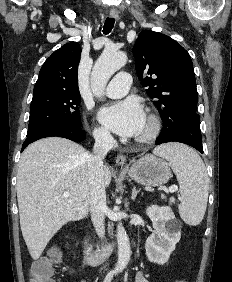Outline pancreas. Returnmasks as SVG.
Here are the masks:
<instances>
[{"instance_id": "obj_1", "label": "pancreas", "mask_w": 232, "mask_h": 282, "mask_svg": "<svg viewBox=\"0 0 232 282\" xmlns=\"http://www.w3.org/2000/svg\"><path fill=\"white\" fill-rule=\"evenodd\" d=\"M175 200L173 198L170 199V203H174Z\"/></svg>"}]
</instances>
